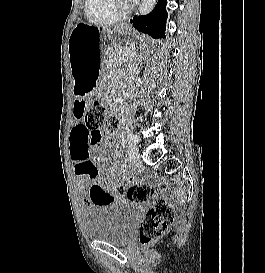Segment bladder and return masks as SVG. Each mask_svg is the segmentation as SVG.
<instances>
[{"mask_svg": "<svg viewBox=\"0 0 265 273\" xmlns=\"http://www.w3.org/2000/svg\"><path fill=\"white\" fill-rule=\"evenodd\" d=\"M138 217V209L133 205L105 203L86 210L82 226L89 240L122 245L133 236Z\"/></svg>", "mask_w": 265, "mask_h": 273, "instance_id": "obj_1", "label": "bladder"}]
</instances>
